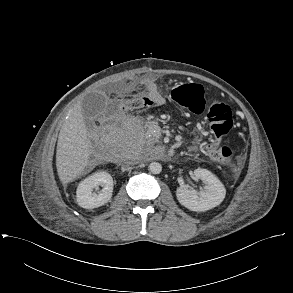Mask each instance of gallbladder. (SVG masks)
<instances>
[{
  "instance_id": "gallbladder-1",
  "label": "gallbladder",
  "mask_w": 293,
  "mask_h": 293,
  "mask_svg": "<svg viewBox=\"0 0 293 293\" xmlns=\"http://www.w3.org/2000/svg\"><path fill=\"white\" fill-rule=\"evenodd\" d=\"M81 107L85 119L97 118L106 107V97L96 92L89 93L84 97Z\"/></svg>"
}]
</instances>
